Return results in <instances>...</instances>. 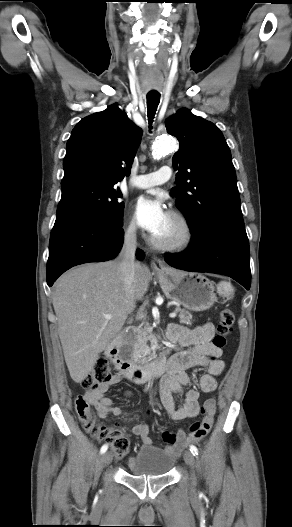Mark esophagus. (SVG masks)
<instances>
[{
	"instance_id": "1",
	"label": "esophagus",
	"mask_w": 292,
	"mask_h": 527,
	"mask_svg": "<svg viewBox=\"0 0 292 527\" xmlns=\"http://www.w3.org/2000/svg\"><path fill=\"white\" fill-rule=\"evenodd\" d=\"M151 267L157 272H161L167 269L164 262L158 257L152 258Z\"/></svg>"
}]
</instances>
